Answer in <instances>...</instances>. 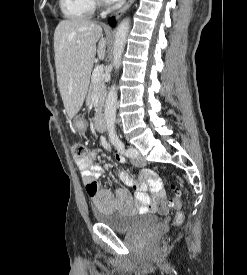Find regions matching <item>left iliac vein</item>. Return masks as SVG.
<instances>
[{"instance_id":"4c4485c4","label":"left iliac vein","mask_w":247,"mask_h":275,"mask_svg":"<svg viewBox=\"0 0 247 275\" xmlns=\"http://www.w3.org/2000/svg\"><path fill=\"white\" fill-rule=\"evenodd\" d=\"M132 150H134L136 156L134 157V159L132 160V163L135 166L138 167H142L146 165V161L140 156L139 150L137 148L134 147H130Z\"/></svg>"}]
</instances>
